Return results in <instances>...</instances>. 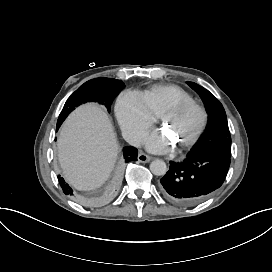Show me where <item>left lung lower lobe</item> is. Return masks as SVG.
<instances>
[{"instance_id": "left-lung-lower-lobe-1", "label": "left lung lower lobe", "mask_w": 272, "mask_h": 272, "mask_svg": "<svg viewBox=\"0 0 272 272\" xmlns=\"http://www.w3.org/2000/svg\"><path fill=\"white\" fill-rule=\"evenodd\" d=\"M230 166V157L218 153L191 154L181 163L170 162L160 179L159 189L169 201L192 206L221 187Z\"/></svg>"}]
</instances>
